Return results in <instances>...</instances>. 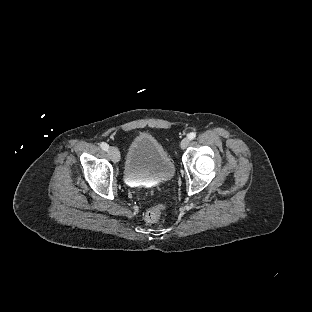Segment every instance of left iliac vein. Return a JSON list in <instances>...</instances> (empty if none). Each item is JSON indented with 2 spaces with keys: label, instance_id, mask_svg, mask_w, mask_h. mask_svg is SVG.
Listing matches in <instances>:
<instances>
[{
  "label": "left iliac vein",
  "instance_id": "obj_1",
  "mask_svg": "<svg viewBox=\"0 0 312 312\" xmlns=\"http://www.w3.org/2000/svg\"><path fill=\"white\" fill-rule=\"evenodd\" d=\"M188 144H189V138H184V139L181 141L180 146H181L182 149H185V148L188 146Z\"/></svg>",
  "mask_w": 312,
  "mask_h": 312
}]
</instances>
